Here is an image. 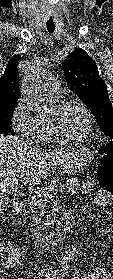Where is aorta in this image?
<instances>
[{
  "label": "aorta",
  "mask_w": 113,
  "mask_h": 279,
  "mask_svg": "<svg viewBox=\"0 0 113 279\" xmlns=\"http://www.w3.org/2000/svg\"><path fill=\"white\" fill-rule=\"evenodd\" d=\"M45 66H41L40 70H44ZM23 93L30 99L32 102L33 109L38 113H45L47 112V102L45 99L37 97L34 93H32V90L28 88H23Z\"/></svg>",
  "instance_id": "obj_1"
}]
</instances>
